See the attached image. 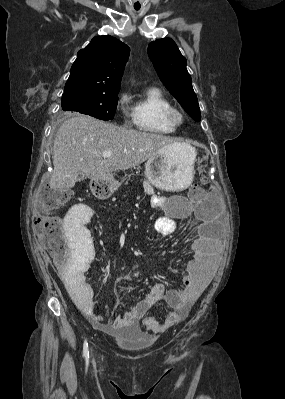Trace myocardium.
Here are the masks:
<instances>
[{"mask_svg": "<svg viewBox=\"0 0 285 399\" xmlns=\"http://www.w3.org/2000/svg\"><path fill=\"white\" fill-rule=\"evenodd\" d=\"M166 120L168 123L176 127L183 123L184 116L180 110L171 107L166 111Z\"/></svg>", "mask_w": 285, "mask_h": 399, "instance_id": "myocardium-1", "label": "myocardium"}]
</instances>
